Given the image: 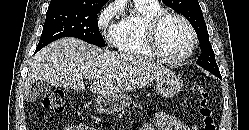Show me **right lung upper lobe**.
Returning <instances> with one entry per match:
<instances>
[{"mask_svg": "<svg viewBox=\"0 0 249 130\" xmlns=\"http://www.w3.org/2000/svg\"><path fill=\"white\" fill-rule=\"evenodd\" d=\"M107 0H51L50 5L57 4V3H71L77 5H86V6H93V5H105Z\"/></svg>", "mask_w": 249, "mask_h": 130, "instance_id": "right-lung-upper-lobe-1", "label": "right lung upper lobe"}]
</instances>
